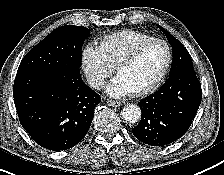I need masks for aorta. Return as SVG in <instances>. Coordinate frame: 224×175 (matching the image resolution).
I'll list each match as a JSON object with an SVG mask.
<instances>
[{"label": "aorta", "mask_w": 224, "mask_h": 175, "mask_svg": "<svg viewBox=\"0 0 224 175\" xmlns=\"http://www.w3.org/2000/svg\"><path fill=\"white\" fill-rule=\"evenodd\" d=\"M121 116L125 121L129 123H135L141 117V110L139 106L135 104H127L124 106L121 112Z\"/></svg>", "instance_id": "aorta-1"}]
</instances>
